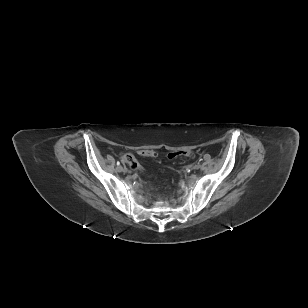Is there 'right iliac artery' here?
<instances>
[{
	"label": "right iliac artery",
	"mask_w": 308,
	"mask_h": 308,
	"mask_svg": "<svg viewBox=\"0 0 308 308\" xmlns=\"http://www.w3.org/2000/svg\"><path fill=\"white\" fill-rule=\"evenodd\" d=\"M117 166H118V167L120 166V162H117ZM118 167H117V168H118Z\"/></svg>",
	"instance_id": "1"
}]
</instances>
